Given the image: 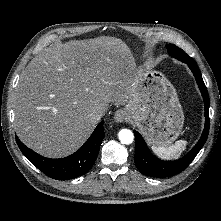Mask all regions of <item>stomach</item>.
I'll return each instance as SVG.
<instances>
[{"mask_svg":"<svg viewBox=\"0 0 221 221\" xmlns=\"http://www.w3.org/2000/svg\"><path fill=\"white\" fill-rule=\"evenodd\" d=\"M133 94L124 111L153 146H166L181 133L184 114L176 89L159 71L139 69L134 74Z\"/></svg>","mask_w":221,"mask_h":221,"instance_id":"obj_1","label":"stomach"}]
</instances>
